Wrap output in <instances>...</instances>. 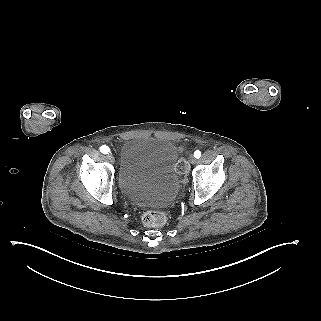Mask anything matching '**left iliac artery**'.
Returning a JSON list of instances; mask_svg holds the SVG:
<instances>
[{
    "label": "left iliac artery",
    "mask_w": 321,
    "mask_h": 321,
    "mask_svg": "<svg viewBox=\"0 0 321 321\" xmlns=\"http://www.w3.org/2000/svg\"><path fill=\"white\" fill-rule=\"evenodd\" d=\"M194 156H195L196 158H200L201 152H200L199 150L195 151V152H194Z\"/></svg>",
    "instance_id": "obj_1"
}]
</instances>
